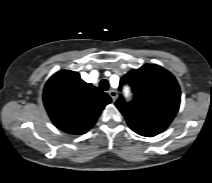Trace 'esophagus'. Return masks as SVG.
<instances>
[{"mask_svg":"<svg viewBox=\"0 0 212 183\" xmlns=\"http://www.w3.org/2000/svg\"><path fill=\"white\" fill-rule=\"evenodd\" d=\"M108 94L112 98L113 101H115L117 96H118V94H117V92L115 90H109Z\"/></svg>","mask_w":212,"mask_h":183,"instance_id":"1","label":"esophagus"}]
</instances>
